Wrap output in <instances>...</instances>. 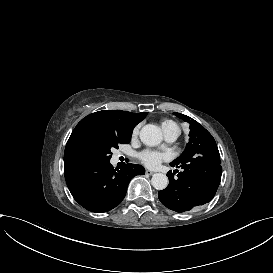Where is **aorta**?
<instances>
[{"label": "aorta", "mask_w": 273, "mask_h": 273, "mask_svg": "<svg viewBox=\"0 0 273 273\" xmlns=\"http://www.w3.org/2000/svg\"><path fill=\"white\" fill-rule=\"evenodd\" d=\"M140 140L146 146H156L162 141V134L155 125H145L140 131ZM152 185L157 190L168 186V177L163 173H155L151 179Z\"/></svg>", "instance_id": "1"}]
</instances>
